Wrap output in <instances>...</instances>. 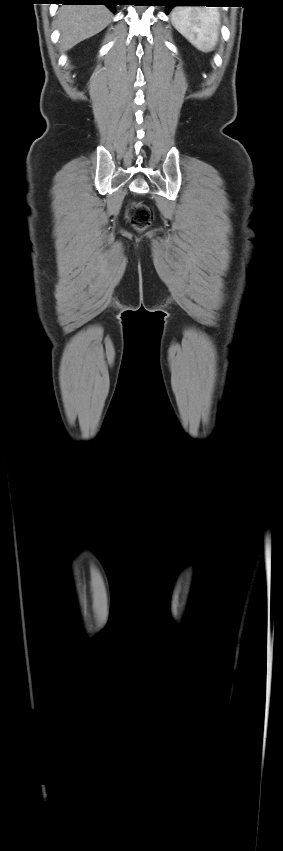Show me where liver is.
Listing matches in <instances>:
<instances>
[{"label": "liver", "mask_w": 283, "mask_h": 851, "mask_svg": "<svg viewBox=\"0 0 283 851\" xmlns=\"http://www.w3.org/2000/svg\"><path fill=\"white\" fill-rule=\"evenodd\" d=\"M112 20V13L102 5L63 6L57 15V27L61 32V51H67L78 43L96 35Z\"/></svg>", "instance_id": "1"}]
</instances>
